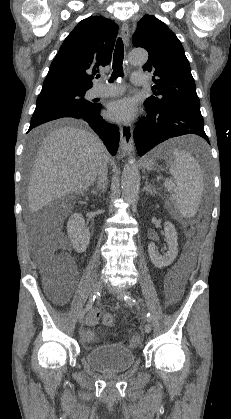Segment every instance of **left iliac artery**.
<instances>
[{"label":"left iliac artery","mask_w":231,"mask_h":419,"mask_svg":"<svg viewBox=\"0 0 231 419\" xmlns=\"http://www.w3.org/2000/svg\"><path fill=\"white\" fill-rule=\"evenodd\" d=\"M124 299H125L126 303L130 306L138 304V302H136V300L133 297H131L130 294L125 295ZM151 320H152V317H151L150 313H147V321L151 322Z\"/></svg>","instance_id":"1"}]
</instances>
